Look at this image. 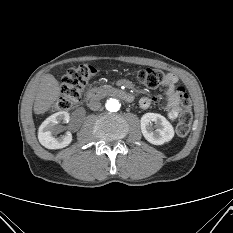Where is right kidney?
I'll list each match as a JSON object with an SVG mask.
<instances>
[{"label":"right kidney","instance_id":"obj_1","mask_svg":"<svg viewBox=\"0 0 233 233\" xmlns=\"http://www.w3.org/2000/svg\"><path fill=\"white\" fill-rule=\"evenodd\" d=\"M70 116L68 112L60 111L48 117L39 127V142L48 149H61L72 142V135L67 132L65 135L57 136L62 131L58 124L68 123Z\"/></svg>","mask_w":233,"mask_h":233}]
</instances>
